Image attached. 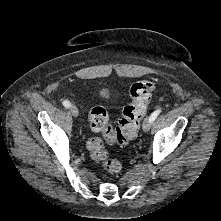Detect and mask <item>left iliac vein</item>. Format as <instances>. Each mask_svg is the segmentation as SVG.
Instances as JSON below:
<instances>
[{
	"label": "left iliac vein",
	"mask_w": 221,
	"mask_h": 221,
	"mask_svg": "<svg viewBox=\"0 0 221 221\" xmlns=\"http://www.w3.org/2000/svg\"><path fill=\"white\" fill-rule=\"evenodd\" d=\"M151 123H152V122L150 121V117H149V118H146V119L144 120L143 126H142L144 132H148V131L150 130Z\"/></svg>",
	"instance_id": "left-iliac-vein-1"
}]
</instances>
